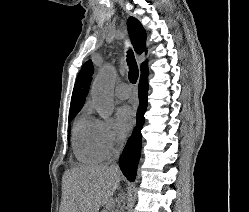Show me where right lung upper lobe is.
<instances>
[{"instance_id": "cb5924a9", "label": "right lung upper lobe", "mask_w": 249, "mask_h": 212, "mask_svg": "<svg viewBox=\"0 0 249 212\" xmlns=\"http://www.w3.org/2000/svg\"><path fill=\"white\" fill-rule=\"evenodd\" d=\"M127 24L133 47L136 53L141 54L146 49V32L141 23L133 17H130L128 19ZM145 67L146 63H142L141 70ZM93 72L94 67L91 60H89L83 65L77 77L72 94L70 110H81V108L83 107L85 97L87 96L89 91Z\"/></svg>"}]
</instances>
